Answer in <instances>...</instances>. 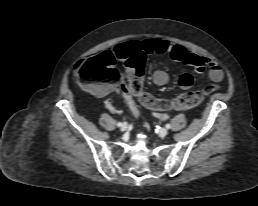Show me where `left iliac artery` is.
<instances>
[{"instance_id":"obj_1","label":"left iliac artery","mask_w":258,"mask_h":206,"mask_svg":"<svg viewBox=\"0 0 258 206\" xmlns=\"http://www.w3.org/2000/svg\"><path fill=\"white\" fill-rule=\"evenodd\" d=\"M166 128H167V129H170V128H171V125H170V124H166Z\"/></svg>"}]
</instances>
